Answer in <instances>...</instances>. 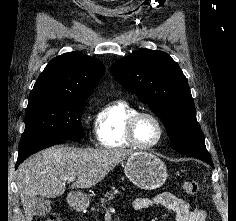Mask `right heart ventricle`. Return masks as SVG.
Wrapping results in <instances>:
<instances>
[{
	"label": "right heart ventricle",
	"mask_w": 236,
	"mask_h": 221,
	"mask_svg": "<svg viewBox=\"0 0 236 221\" xmlns=\"http://www.w3.org/2000/svg\"><path fill=\"white\" fill-rule=\"evenodd\" d=\"M137 108L125 99L104 105L95 120V134L100 146L106 149H127L133 146L126 139V124Z\"/></svg>",
	"instance_id": "right-heart-ventricle-1"
}]
</instances>
